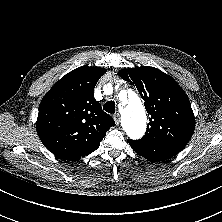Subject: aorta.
<instances>
[{"instance_id": "762f6f07", "label": "aorta", "mask_w": 222, "mask_h": 222, "mask_svg": "<svg viewBox=\"0 0 222 222\" xmlns=\"http://www.w3.org/2000/svg\"><path fill=\"white\" fill-rule=\"evenodd\" d=\"M123 127L132 139L141 138L146 130V113L139 99L123 100Z\"/></svg>"}]
</instances>
